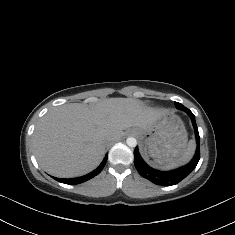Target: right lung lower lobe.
<instances>
[{
  "mask_svg": "<svg viewBox=\"0 0 235 235\" xmlns=\"http://www.w3.org/2000/svg\"><path fill=\"white\" fill-rule=\"evenodd\" d=\"M106 161H107V156L104 158L102 163L98 166V168H96L93 172H91L85 176H82V177L71 178V179H61V178H55V177H53V178L61 183H65V184H69V185L80 184V183H83V182L93 178L94 176L98 175L101 172V170L103 169V167L105 166Z\"/></svg>",
  "mask_w": 235,
  "mask_h": 235,
  "instance_id": "1",
  "label": "right lung lower lobe"
}]
</instances>
